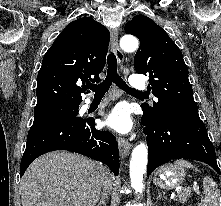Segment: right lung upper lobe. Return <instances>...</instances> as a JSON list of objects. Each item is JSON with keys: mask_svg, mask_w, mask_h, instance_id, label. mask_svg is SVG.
<instances>
[{"mask_svg": "<svg viewBox=\"0 0 221 206\" xmlns=\"http://www.w3.org/2000/svg\"><path fill=\"white\" fill-rule=\"evenodd\" d=\"M109 39L108 29L92 18L71 22L43 58L35 107L80 104L85 84L100 81Z\"/></svg>", "mask_w": 221, "mask_h": 206, "instance_id": "cb5924a9", "label": "right lung upper lobe"}]
</instances>
